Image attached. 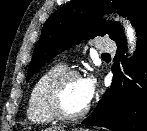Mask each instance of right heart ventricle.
<instances>
[{
  "instance_id": "right-heart-ventricle-1",
  "label": "right heart ventricle",
  "mask_w": 147,
  "mask_h": 131,
  "mask_svg": "<svg viewBox=\"0 0 147 131\" xmlns=\"http://www.w3.org/2000/svg\"><path fill=\"white\" fill-rule=\"evenodd\" d=\"M66 70L62 64H55L43 71L35 80L27 103V117L35 124H48L54 122L56 119L46 108L44 102V91L49 81Z\"/></svg>"
}]
</instances>
